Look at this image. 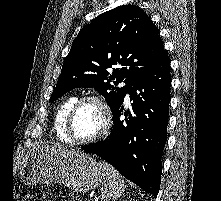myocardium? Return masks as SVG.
<instances>
[{"mask_svg":"<svg viewBox=\"0 0 221 201\" xmlns=\"http://www.w3.org/2000/svg\"><path fill=\"white\" fill-rule=\"evenodd\" d=\"M89 101L95 102L101 109L102 116H103V125H102L100 132L96 134L95 136L88 138V139H78L74 136L73 131H72L73 119L75 117L76 112L80 108V106ZM111 123H112V112L107 101L103 97L97 94H88V95L78 98L75 101V103L72 105V107L70 108L67 118H66V133L68 137L70 138L71 142L74 144H78V145L91 144V143L99 141L108 133L111 127Z\"/></svg>","mask_w":221,"mask_h":201,"instance_id":"obj_1","label":"myocardium"}]
</instances>
